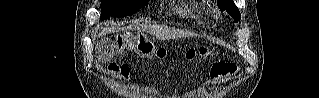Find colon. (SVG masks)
Instances as JSON below:
<instances>
[{"label":"colon","mask_w":319,"mask_h":98,"mask_svg":"<svg viewBox=\"0 0 319 98\" xmlns=\"http://www.w3.org/2000/svg\"><path fill=\"white\" fill-rule=\"evenodd\" d=\"M116 47L119 52L134 51L139 56L150 61H160L166 57V51L163 48H157L142 32L131 33L125 32L116 39ZM208 48L188 49L184 53L187 60L196 58H208L212 55ZM111 72H118L127 77L128 69L124 66L112 64ZM237 67L234 64L226 62H216L211 68V77L213 79L230 77L235 74Z\"/></svg>","instance_id":"5ec220e1"}]
</instances>
